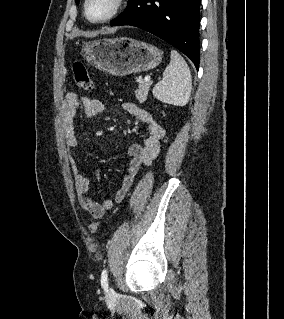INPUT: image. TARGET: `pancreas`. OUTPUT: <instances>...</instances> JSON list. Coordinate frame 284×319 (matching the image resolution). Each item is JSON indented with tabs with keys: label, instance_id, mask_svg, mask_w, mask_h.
Returning <instances> with one entry per match:
<instances>
[{
	"label": "pancreas",
	"instance_id": "cf45deb5",
	"mask_svg": "<svg viewBox=\"0 0 284 319\" xmlns=\"http://www.w3.org/2000/svg\"><path fill=\"white\" fill-rule=\"evenodd\" d=\"M150 86V82H145L143 80L139 82V86L135 90V96L140 103H144L146 101Z\"/></svg>",
	"mask_w": 284,
	"mask_h": 319
}]
</instances>
